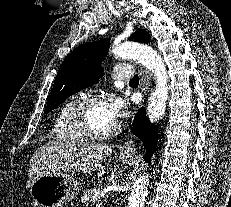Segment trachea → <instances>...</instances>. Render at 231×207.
Here are the masks:
<instances>
[{
  "label": "trachea",
  "mask_w": 231,
  "mask_h": 207,
  "mask_svg": "<svg viewBox=\"0 0 231 207\" xmlns=\"http://www.w3.org/2000/svg\"><path fill=\"white\" fill-rule=\"evenodd\" d=\"M130 83H139V77L138 75H135L131 80Z\"/></svg>",
  "instance_id": "3493384b"
}]
</instances>
